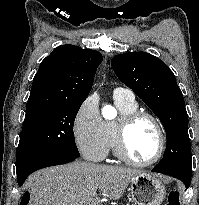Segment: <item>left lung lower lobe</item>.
<instances>
[{
  "label": "left lung lower lobe",
  "instance_id": "0a47b994",
  "mask_svg": "<svg viewBox=\"0 0 199 205\" xmlns=\"http://www.w3.org/2000/svg\"><path fill=\"white\" fill-rule=\"evenodd\" d=\"M153 172H157V173H162V174H166V175H170V176H173L177 179H180L186 186V189H188V187L190 186V182H191V178H187V177H184L180 174H177V173H173V172H169V171H156L154 169H152Z\"/></svg>",
  "mask_w": 199,
  "mask_h": 205
}]
</instances>
